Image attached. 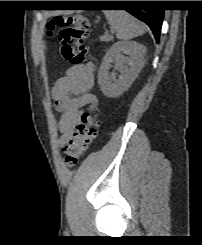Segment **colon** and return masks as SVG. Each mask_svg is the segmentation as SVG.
I'll use <instances>...</instances> for the list:
<instances>
[{
  "mask_svg": "<svg viewBox=\"0 0 202 245\" xmlns=\"http://www.w3.org/2000/svg\"><path fill=\"white\" fill-rule=\"evenodd\" d=\"M48 34L56 38L59 55L71 64H82L89 53V48L83 41L88 34V21L83 16H56L47 23ZM99 120L85 112L81 124L73 137L63 147L65 162L68 166H75L95 140L98 132Z\"/></svg>",
  "mask_w": 202,
  "mask_h": 245,
  "instance_id": "colon-1",
  "label": "colon"
}]
</instances>
